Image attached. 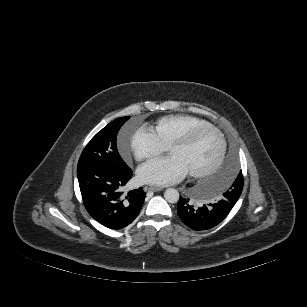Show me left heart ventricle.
Instances as JSON below:
<instances>
[{"instance_id":"left-heart-ventricle-1","label":"left heart ventricle","mask_w":307,"mask_h":307,"mask_svg":"<svg viewBox=\"0 0 307 307\" xmlns=\"http://www.w3.org/2000/svg\"><path fill=\"white\" fill-rule=\"evenodd\" d=\"M220 145L219 136L207 130L200 133L191 144L174 147L170 154L177 157L188 172L202 171L214 165Z\"/></svg>"}]
</instances>
